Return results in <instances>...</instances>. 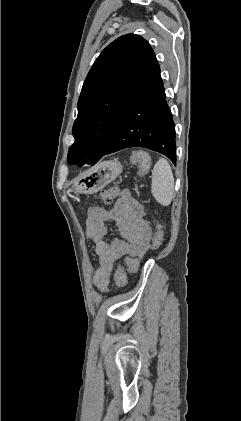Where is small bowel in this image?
<instances>
[{
	"label": "small bowel",
	"mask_w": 241,
	"mask_h": 421,
	"mask_svg": "<svg viewBox=\"0 0 241 421\" xmlns=\"http://www.w3.org/2000/svg\"><path fill=\"white\" fill-rule=\"evenodd\" d=\"M114 224L121 239L105 241L107 224ZM86 234L92 241L100 267L94 273V283L103 292L108 291L111 275L117 260L122 257L142 258L149 249L151 228L144 219L143 206L128 190L110 210L91 207L86 219Z\"/></svg>",
	"instance_id": "small-bowel-1"
}]
</instances>
